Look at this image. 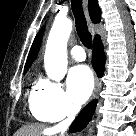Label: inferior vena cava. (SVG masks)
I'll use <instances>...</instances> for the list:
<instances>
[{"mask_svg":"<svg viewBox=\"0 0 136 136\" xmlns=\"http://www.w3.org/2000/svg\"><path fill=\"white\" fill-rule=\"evenodd\" d=\"M80 111V106L79 105H70L67 108V119L64 121L60 122L57 124L54 128L61 132L64 133L69 125L73 122L75 119L76 114Z\"/></svg>","mask_w":136,"mask_h":136,"instance_id":"inferior-vena-cava-1","label":"inferior vena cava"}]
</instances>
